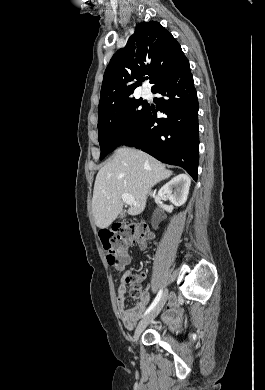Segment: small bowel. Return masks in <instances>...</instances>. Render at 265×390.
Returning <instances> with one entry per match:
<instances>
[{"label": "small bowel", "mask_w": 265, "mask_h": 390, "mask_svg": "<svg viewBox=\"0 0 265 390\" xmlns=\"http://www.w3.org/2000/svg\"><path fill=\"white\" fill-rule=\"evenodd\" d=\"M129 263V259L127 258L126 264ZM130 272H127L123 279L121 280L117 292V308L119 317L123 323V325L127 329H132L136 323V321L139 319L140 315L144 311L146 305L148 304L150 300V294L149 292H144L140 298V300L130 309H127L125 306V293H126V284H127V277L130 275ZM167 320H172L174 322H179L181 318L180 310L177 307V304L174 300L171 301L169 310L166 313Z\"/></svg>", "instance_id": "obj_1"}]
</instances>
